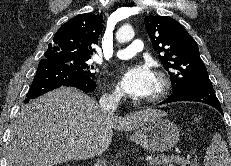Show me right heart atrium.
<instances>
[{
    "label": "right heart atrium",
    "instance_id": "right-heart-atrium-1",
    "mask_svg": "<svg viewBox=\"0 0 231 166\" xmlns=\"http://www.w3.org/2000/svg\"><path fill=\"white\" fill-rule=\"evenodd\" d=\"M108 96L113 99H118L121 96V92L118 88H114L108 93Z\"/></svg>",
    "mask_w": 231,
    "mask_h": 166
}]
</instances>
